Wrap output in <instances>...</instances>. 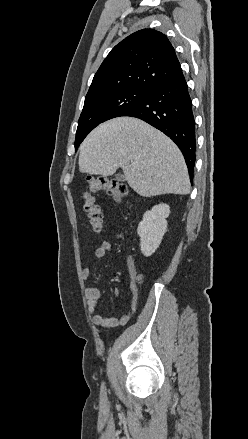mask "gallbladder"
<instances>
[{"label":"gallbladder","instance_id":"obj_1","mask_svg":"<svg viewBox=\"0 0 248 439\" xmlns=\"http://www.w3.org/2000/svg\"><path fill=\"white\" fill-rule=\"evenodd\" d=\"M116 178H117L118 180H121V181L124 180V176H123L122 174H117V175H116Z\"/></svg>","mask_w":248,"mask_h":439}]
</instances>
